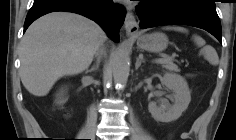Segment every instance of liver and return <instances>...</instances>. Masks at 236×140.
I'll list each match as a JSON object with an SVG mask.
<instances>
[{
    "instance_id": "6515ba94",
    "label": "liver",
    "mask_w": 236,
    "mask_h": 140,
    "mask_svg": "<svg viewBox=\"0 0 236 140\" xmlns=\"http://www.w3.org/2000/svg\"><path fill=\"white\" fill-rule=\"evenodd\" d=\"M106 39L98 24L81 15L53 12L42 16L21 41L22 84L32 95H47L61 77L85 71Z\"/></svg>"
}]
</instances>
